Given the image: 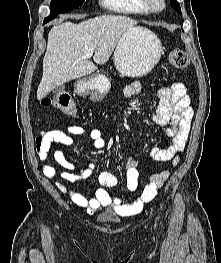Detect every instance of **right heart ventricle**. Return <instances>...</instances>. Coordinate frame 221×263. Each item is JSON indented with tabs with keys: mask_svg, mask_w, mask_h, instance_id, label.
Instances as JSON below:
<instances>
[{
	"mask_svg": "<svg viewBox=\"0 0 221 263\" xmlns=\"http://www.w3.org/2000/svg\"><path fill=\"white\" fill-rule=\"evenodd\" d=\"M109 11L129 15H146L149 10L143 0H101Z\"/></svg>",
	"mask_w": 221,
	"mask_h": 263,
	"instance_id": "obj_1",
	"label": "right heart ventricle"
}]
</instances>
